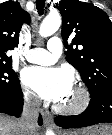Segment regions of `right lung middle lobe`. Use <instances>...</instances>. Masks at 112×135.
Returning a JSON list of instances; mask_svg holds the SVG:
<instances>
[{
    "mask_svg": "<svg viewBox=\"0 0 112 135\" xmlns=\"http://www.w3.org/2000/svg\"><path fill=\"white\" fill-rule=\"evenodd\" d=\"M20 83L12 69V61L0 62V96H12L20 92Z\"/></svg>",
    "mask_w": 112,
    "mask_h": 135,
    "instance_id": "obj_1",
    "label": "right lung middle lobe"
}]
</instances>
